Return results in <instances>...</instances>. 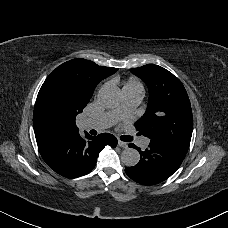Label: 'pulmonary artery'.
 <instances>
[{"label":"pulmonary artery","instance_id":"obj_1","mask_svg":"<svg viewBox=\"0 0 228 228\" xmlns=\"http://www.w3.org/2000/svg\"><path fill=\"white\" fill-rule=\"evenodd\" d=\"M141 96L142 88L140 86H133L130 88L125 96L124 110L126 112H133L135 106L140 102ZM101 122L104 126L111 125L114 122L113 116L111 114H106L101 118Z\"/></svg>","mask_w":228,"mask_h":228}]
</instances>
